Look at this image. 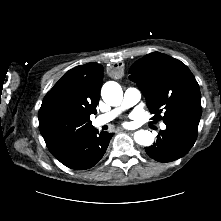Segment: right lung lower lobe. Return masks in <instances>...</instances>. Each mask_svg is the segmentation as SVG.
<instances>
[{
  "instance_id": "1",
  "label": "right lung lower lobe",
  "mask_w": 221,
  "mask_h": 221,
  "mask_svg": "<svg viewBox=\"0 0 221 221\" xmlns=\"http://www.w3.org/2000/svg\"><path fill=\"white\" fill-rule=\"evenodd\" d=\"M112 136V133L99 134L96 129H93L55 157L71 169H89L103 157Z\"/></svg>"
}]
</instances>
